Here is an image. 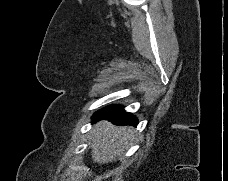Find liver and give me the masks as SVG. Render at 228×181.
<instances>
[{
	"label": "liver",
	"mask_w": 228,
	"mask_h": 181,
	"mask_svg": "<svg viewBox=\"0 0 228 181\" xmlns=\"http://www.w3.org/2000/svg\"><path fill=\"white\" fill-rule=\"evenodd\" d=\"M134 133L133 127H116L108 121H99L91 129L92 161L99 165L114 163L131 145Z\"/></svg>",
	"instance_id": "liver-1"
}]
</instances>
